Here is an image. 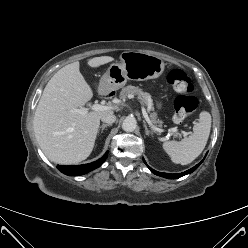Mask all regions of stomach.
Wrapping results in <instances>:
<instances>
[{"label":"stomach","instance_id":"0dacf381","mask_svg":"<svg viewBox=\"0 0 248 248\" xmlns=\"http://www.w3.org/2000/svg\"><path fill=\"white\" fill-rule=\"evenodd\" d=\"M164 68L163 60L155 55L124 51L120 55V62L111 64L102 76L100 85L114 91L123 87L128 80L144 81L158 78Z\"/></svg>","mask_w":248,"mask_h":248}]
</instances>
